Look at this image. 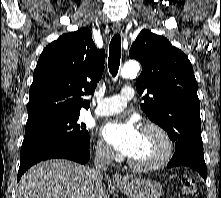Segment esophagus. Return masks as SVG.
Instances as JSON below:
<instances>
[{"label": "esophagus", "mask_w": 221, "mask_h": 198, "mask_svg": "<svg viewBox=\"0 0 221 198\" xmlns=\"http://www.w3.org/2000/svg\"><path fill=\"white\" fill-rule=\"evenodd\" d=\"M112 29L115 33H118L121 31V25L120 24H113ZM113 181L115 183H122V182H124V178L120 173H114L113 174Z\"/></svg>", "instance_id": "esophagus-1"}]
</instances>
